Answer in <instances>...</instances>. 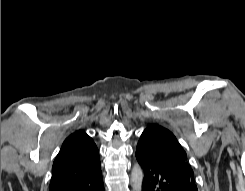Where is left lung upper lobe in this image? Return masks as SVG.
I'll use <instances>...</instances> for the list:
<instances>
[{"mask_svg": "<svg viewBox=\"0 0 245 191\" xmlns=\"http://www.w3.org/2000/svg\"><path fill=\"white\" fill-rule=\"evenodd\" d=\"M136 152L146 160L195 182L186 152L168 129L156 124L149 125L140 137Z\"/></svg>", "mask_w": 245, "mask_h": 191, "instance_id": "5c2ea615", "label": "left lung upper lobe"}]
</instances>
